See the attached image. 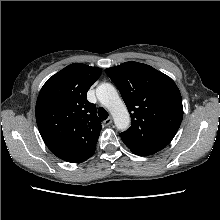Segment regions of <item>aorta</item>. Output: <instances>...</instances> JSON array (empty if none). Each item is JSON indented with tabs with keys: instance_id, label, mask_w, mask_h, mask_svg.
Returning <instances> with one entry per match:
<instances>
[{
	"instance_id": "762f6f07",
	"label": "aorta",
	"mask_w": 220,
	"mask_h": 220,
	"mask_svg": "<svg viewBox=\"0 0 220 220\" xmlns=\"http://www.w3.org/2000/svg\"><path fill=\"white\" fill-rule=\"evenodd\" d=\"M96 96L112 114L117 129L126 130L130 125V115L115 87L102 83L96 88Z\"/></svg>"
}]
</instances>
